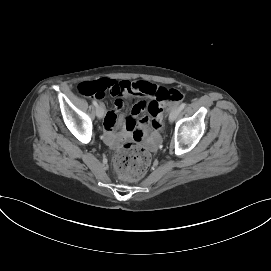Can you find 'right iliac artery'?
I'll list each match as a JSON object with an SVG mask.
<instances>
[{"mask_svg":"<svg viewBox=\"0 0 271 271\" xmlns=\"http://www.w3.org/2000/svg\"><path fill=\"white\" fill-rule=\"evenodd\" d=\"M92 103L94 106H96V107L98 106V103L95 100Z\"/></svg>","mask_w":271,"mask_h":271,"instance_id":"right-iliac-artery-1","label":"right iliac artery"}]
</instances>
